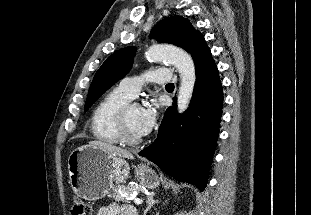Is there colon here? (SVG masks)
Segmentation results:
<instances>
[{
    "label": "colon",
    "instance_id": "colon-1",
    "mask_svg": "<svg viewBox=\"0 0 311 215\" xmlns=\"http://www.w3.org/2000/svg\"><path fill=\"white\" fill-rule=\"evenodd\" d=\"M71 215H91V210L84 200L74 198L71 207Z\"/></svg>",
    "mask_w": 311,
    "mask_h": 215
}]
</instances>
